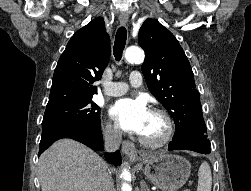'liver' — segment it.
<instances>
[{"label": "liver", "instance_id": "6515ba94", "mask_svg": "<svg viewBox=\"0 0 251 191\" xmlns=\"http://www.w3.org/2000/svg\"><path fill=\"white\" fill-rule=\"evenodd\" d=\"M107 169L98 153L74 139H58L38 161L42 191H100Z\"/></svg>", "mask_w": 251, "mask_h": 191}]
</instances>
